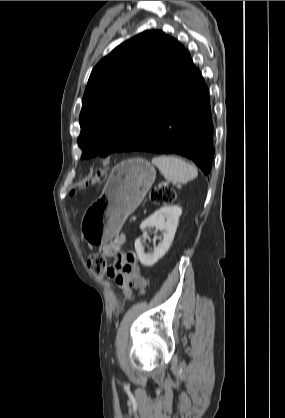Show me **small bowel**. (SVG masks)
Masks as SVG:
<instances>
[{
  "label": "small bowel",
  "instance_id": "small-bowel-1",
  "mask_svg": "<svg viewBox=\"0 0 285 418\" xmlns=\"http://www.w3.org/2000/svg\"><path fill=\"white\" fill-rule=\"evenodd\" d=\"M122 242L123 236L117 235L112 241L101 247V252L111 257L116 254ZM136 261L137 255L133 252L119 253L117 264L108 267L107 275L115 280L117 286L123 290L125 295H129L132 290L143 293L147 286V281Z\"/></svg>",
  "mask_w": 285,
  "mask_h": 418
}]
</instances>
